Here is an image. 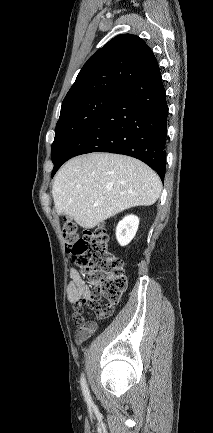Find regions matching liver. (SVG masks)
<instances>
[{"instance_id": "obj_1", "label": "liver", "mask_w": 213, "mask_h": 433, "mask_svg": "<svg viewBox=\"0 0 213 433\" xmlns=\"http://www.w3.org/2000/svg\"><path fill=\"white\" fill-rule=\"evenodd\" d=\"M162 184L138 159L112 153H91L69 160L56 174L52 195L58 214L85 228L136 206L153 205Z\"/></svg>"}]
</instances>
